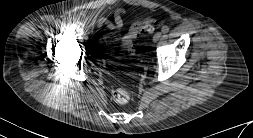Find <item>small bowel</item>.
I'll return each mask as SVG.
<instances>
[{
  "instance_id": "small-bowel-1",
  "label": "small bowel",
  "mask_w": 253,
  "mask_h": 138,
  "mask_svg": "<svg viewBox=\"0 0 253 138\" xmlns=\"http://www.w3.org/2000/svg\"><path fill=\"white\" fill-rule=\"evenodd\" d=\"M125 15V11L124 10H119L113 21H106V20H101L98 23V27H106L108 29L111 30H118L121 29L123 27V16Z\"/></svg>"
}]
</instances>
